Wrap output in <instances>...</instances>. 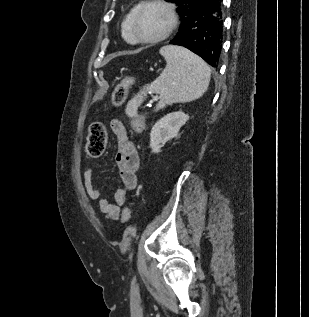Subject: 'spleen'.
<instances>
[{
	"instance_id": "3e777b00",
	"label": "spleen",
	"mask_w": 309,
	"mask_h": 317,
	"mask_svg": "<svg viewBox=\"0 0 309 317\" xmlns=\"http://www.w3.org/2000/svg\"><path fill=\"white\" fill-rule=\"evenodd\" d=\"M159 53L166 67L151 84L144 86L126 106V114L135 117L138 107L151 90L160 95L156 111L173 103L191 102L200 98L208 89L211 70L197 55L183 47L167 45Z\"/></svg>"
}]
</instances>
